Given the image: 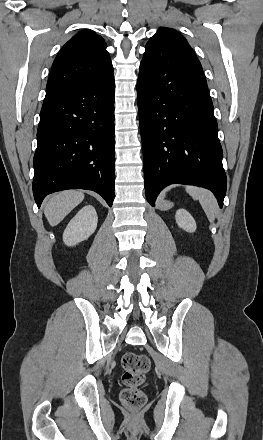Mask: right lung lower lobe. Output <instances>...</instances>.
Returning <instances> with one entry per match:
<instances>
[{
    "mask_svg": "<svg viewBox=\"0 0 263 440\" xmlns=\"http://www.w3.org/2000/svg\"><path fill=\"white\" fill-rule=\"evenodd\" d=\"M114 76L46 98L34 155L33 194L87 189L112 206L115 182Z\"/></svg>",
    "mask_w": 263,
    "mask_h": 440,
    "instance_id": "98d812e1",
    "label": "right lung lower lobe"
}]
</instances>
